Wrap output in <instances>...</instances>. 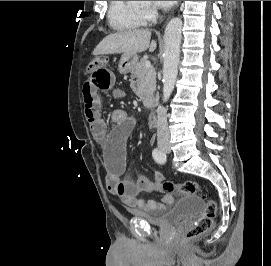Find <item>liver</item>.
Listing matches in <instances>:
<instances>
[{
    "instance_id": "1",
    "label": "liver",
    "mask_w": 271,
    "mask_h": 266,
    "mask_svg": "<svg viewBox=\"0 0 271 266\" xmlns=\"http://www.w3.org/2000/svg\"><path fill=\"white\" fill-rule=\"evenodd\" d=\"M151 39V31L148 29H135L121 31L106 36L94 49L93 55L127 53L134 54L149 49H156V42Z\"/></svg>"
}]
</instances>
